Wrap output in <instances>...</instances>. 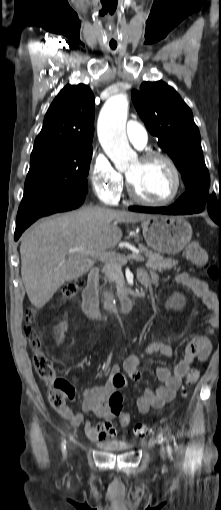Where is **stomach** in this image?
Segmentation results:
<instances>
[{
  "instance_id": "1",
  "label": "stomach",
  "mask_w": 221,
  "mask_h": 510,
  "mask_svg": "<svg viewBox=\"0 0 221 510\" xmlns=\"http://www.w3.org/2000/svg\"><path fill=\"white\" fill-rule=\"evenodd\" d=\"M143 236L156 252L175 255L190 242L192 227L182 217L158 215L144 221Z\"/></svg>"
}]
</instances>
